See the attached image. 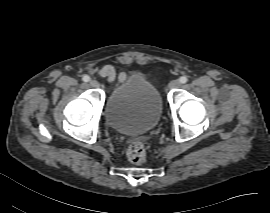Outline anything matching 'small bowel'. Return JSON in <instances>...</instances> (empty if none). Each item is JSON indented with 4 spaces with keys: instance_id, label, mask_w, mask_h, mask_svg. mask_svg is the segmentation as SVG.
<instances>
[{
    "instance_id": "obj_1",
    "label": "small bowel",
    "mask_w": 270,
    "mask_h": 213,
    "mask_svg": "<svg viewBox=\"0 0 270 213\" xmlns=\"http://www.w3.org/2000/svg\"><path fill=\"white\" fill-rule=\"evenodd\" d=\"M98 74L109 82L114 81L117 76L115 67L110 64L101 67Z\"/></svg>"
}]
</instances>
